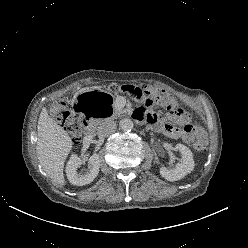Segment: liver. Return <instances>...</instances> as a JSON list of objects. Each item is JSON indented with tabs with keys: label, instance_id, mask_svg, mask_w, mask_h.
<instances>
[{
	"label": "liver",
	"instance_id": "obj_1",
	"mask_svg": "<svg viewBox=\"0 0 248 248\" xmlns=\"http://www.w3.org/2000/svg\"><path fill=\"white\" fill-rule=\"evenodd\" d=\"M37 137L36 152L43 170L54 183L64 185V163L73 142L67 132L49 117L45 108L38 119Z\"/></svg>",
	"mask_w": 248,
	"mask_h": 248
}]
</instances>
